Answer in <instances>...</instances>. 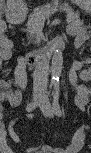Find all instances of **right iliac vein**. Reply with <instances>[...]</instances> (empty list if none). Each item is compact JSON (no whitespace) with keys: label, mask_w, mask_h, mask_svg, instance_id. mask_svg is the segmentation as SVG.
<instances>
[{"label":"right iliac vein","mask_w":91,"mask_h":153,"mask_svg":"<svg viewBox=\"0 0 91 153\" xmlns=\"http://www.w3.org/2000/svg\"><path fill=\"white\" fill-rule=\"evenodd\" d=\"M43 100V96L40 92H36L33 97V102L36 106L39 105Z\"/></svg>","instance_id":"63e3f726"}]
</instances>
